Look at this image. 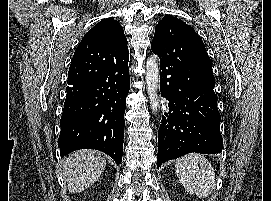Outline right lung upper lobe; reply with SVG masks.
Listing matches in <instances>:
<instances>
[{"label": "right lung upper lobe", "instance_id": "1", "mask_svg": "<svg viewBox=\"0 0 271 201\" xmlns=\"http://www.w3.org/2000/svg\"><path fill=\"white\" fill-rule=\"evenodd\" d=\"M81 42H104L120 47L124 55H129L127 40L121 25L114 18H106L90 29Z\"/></svg>", "mask_w": 271, "mask_h": 201}]
</instances>
